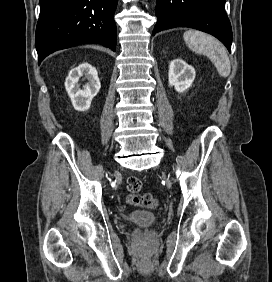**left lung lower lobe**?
<instances>
[{
  "label": "left lung lower lobe",
  "instance_id": "obj_1",
  "mask_svg": "<svg viewBox=\"0 0 272 282\" xmlns=\"http://www.w3.org/2000/svg\"><path fill=\"white\" fill-rule=\"evenodd\" d=\"M226 0H157L158 21L153 35L174 27H190L218 38L231 52L232 29L225 13Z\"/></svg>",
  "mask_w": 272,
  "mask_h": 282
}]
</instances>
